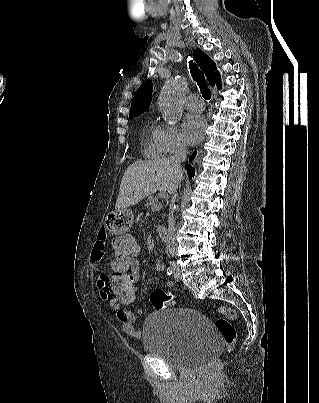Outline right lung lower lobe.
<instances>
[{
	"mask_svg": "<svg viewBox=\"0 0 319 403\" xmlns=\"http://www.w3.org/2000/svg\"><path fill=\"white\" fill-rule=\"evenodd\" d=\"M195 155H196V151L193 152V154L190 156V161H192L195 158ZM185 169L188 172L189 178H192V176H194V168L189 165H186Z\"/></svg>",
	"mask_w": 319,
	"mask_h": 403,
	"instance_id": "1",
	"label": "right lung lower lobe"
}]
</instances>
